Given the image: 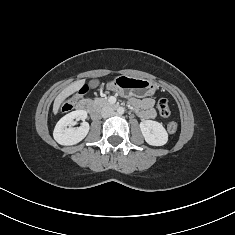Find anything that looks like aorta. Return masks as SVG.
<instances>
[{
  "instance_id": "aorta-1",
  "label": "aorta",
  "mask_w": 235,
  "mask_h": 235,
  "mask_svg": "<svg viewBox=\"0 0 235 235\" xmlns=\"http://www.w3.org/2000/svg\"><path fill=\"white\" fill-rule=\"evenodd\" d=\"M124 108L123 107H119L118 109H117V113L118 114H120V115H122V114H124Z\"/></svg>"
}]
</instances>
